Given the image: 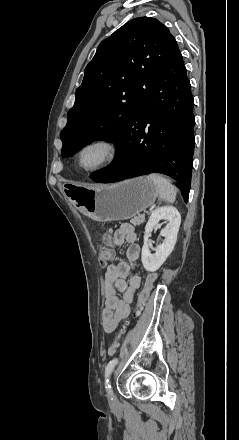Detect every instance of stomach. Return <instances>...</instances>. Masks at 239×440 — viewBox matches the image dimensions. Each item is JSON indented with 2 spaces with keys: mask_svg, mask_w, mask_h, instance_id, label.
I'll list each match as a JSON object with an SVG mask.
<instances>
[{
  "mask_svg": "<svg viewBox=\"0 0 239 440\" xmlns=\"http://www.w3.org/2000/svg\"><path fill=\"white\" fill-rule=\"evenodd\" d=\"M158 188L148 176L125 180L112 186L86 188L72 186V202L77 210L95 222L128 220L154 204Z\"/></svg>",
  "mask_w": 239,
  "mask_h": 440,
  "instance_id": "1",
  "label": "stomach"
}]
</instances>
